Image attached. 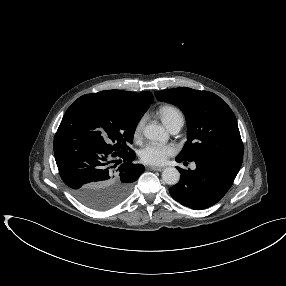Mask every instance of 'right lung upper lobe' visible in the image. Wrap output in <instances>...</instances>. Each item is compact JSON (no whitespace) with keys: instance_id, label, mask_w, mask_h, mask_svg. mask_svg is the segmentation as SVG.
<instances>
[{"instance_id":"cb5924a9","label":"right lung upper lobe","mask_w":286,"mask_h":286,"mask_svg":"<svg viewBox=\"0 0 286 286\" xmlns=\"http://www.w3.org/2000/svg\"><path fill=\"white\" fill-rule=\"evenodd\" d=\"M93 95L108 97L129 107L143 110H147L150 103L154 101L152 93L147 91L135 93L121 90H107Z\"/></svg>"}]
</instances>
